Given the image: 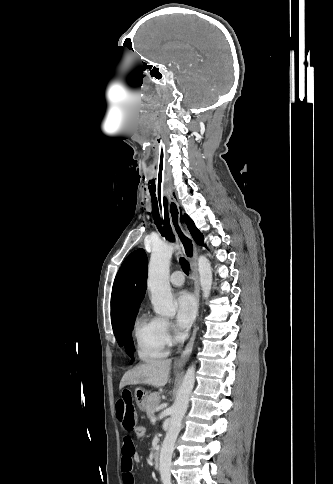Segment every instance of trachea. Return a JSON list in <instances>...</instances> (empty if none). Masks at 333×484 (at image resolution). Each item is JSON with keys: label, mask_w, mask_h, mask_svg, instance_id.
I'll return each instance as SVG.
<instances>
[{"label": "trachea", "mask_w": 333, "mask_h": 484, "mask_svg": "<svg viewBox=\"0 0 333 484\" xmlns=\"http://www.w3.org/2000/svg\"><path fill=\"white\" fill-rule=\"evenodd\" d=\"M156 145L157 151L153 158V172L151 176V186H152V214L154 218V223L157 226L158 231L162 236H165L167 240L174 242L175 236L172 232L170 225V219L168 214V200L165 197V172L164 167L166 165L167 151L164 149L165 143V132H156ZM180 264L183 272L189 275L190 265L189 262L184 258L180 257Z\"/></svg>", "instance_id": "trachea-1"}]
</instances>
